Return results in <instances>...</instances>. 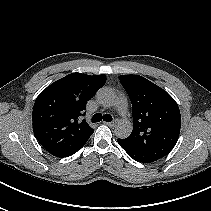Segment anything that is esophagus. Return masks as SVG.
<instances>
[{
	"label": "esophagus",
	"mask_w": 211,
	"mask_h": 211,
	"mask_svg": "<svg viewBox=\"0 0 211 211\" xmlns=\"http://www.w3.org/2000/svg\"><path fill=\"white\" fill-rule=\"evenodd\" d=\"M106 125L110 126V127H115L116 126V121H112V122H104Z\"/></svg>",
	"instance_id": "34e87169"
}]
</instances>
